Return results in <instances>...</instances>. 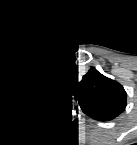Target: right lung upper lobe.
Segmentation results:
<instances>
[{
  "label": "right lung upper lobe",
  "mask_w": 137,
  "mask_h": 145,
  "mask_svg": "<svg viewBox=\"0 0 137 145\" xmlns=\"http://www.w3.org/2000/svg\"><path fill=\"white\" fill-rule=\"evenodd\" d=\"M61 90L51 83L48 74H36L19 91L14 100L15 110L22 119L39 118L50 110Z\"/></svg>",
  "instance_id": "obj_1"
}]
</instances>
